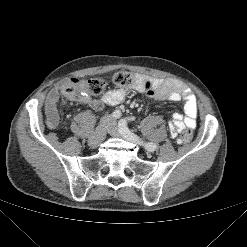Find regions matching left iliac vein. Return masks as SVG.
Returning a JSON list of instances; mask_svg holds the SVG:
<instances>
[{
	"mask_svg": "<svg viewBox=\"0 0 247 247\" xmlns=\"http://www.w3.org/2000/svg\"><path fill=\"white\" fill-rule=\"evenodd\" d=\"M107 131L112 136L122 137V138L126 139L127 141H130V142H133V143H135L137 145H140V140L139 139H135V138H132V137L127 136L125 134H122L119 131V129L117 128V126H116V124L114 122H111V123L108 124Z\"/></svg>",
	"mask_w": 247,
	"mask_h": 247,
	"instance_id": "1",
	"label": "left iliac vein"
}]
</instances>
